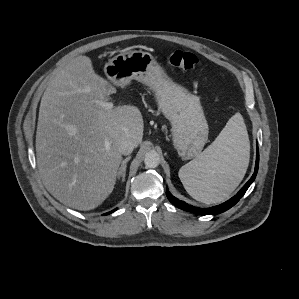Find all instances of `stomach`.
<instances>
[{"mask_svg": "<svg viewBox=\"0 0 299 299\" xmlns=\"http://www.w3.org/2000/svg\"><path fill=\"white\" fill-rule=\"evenodd\" d=\"M104 72L117 86L123 87L133 79L148 86L171 124L173 145L179 156L188 160L200 155L209 129L199 98L173 82L150 53H120L105 64Z\"/></svg>", "mask_w": 299, "mask_h": 299, "instance_id": "1", "label": "stomach"}]
</instances>
